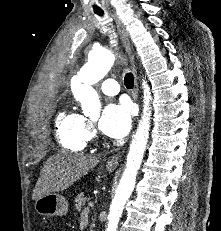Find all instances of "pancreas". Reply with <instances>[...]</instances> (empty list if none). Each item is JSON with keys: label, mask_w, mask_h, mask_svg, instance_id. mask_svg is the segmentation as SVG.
Returning a JSON list of instances; mask_svg holds the SVG:
<instances>
[{"label": "pancreas", "mask_w": 221, "mask_h": 231, "mask_svg": "<svg viewBox=\"0 0 221 231\" xmlns=\"http://www.w3.org/2000/svg\"><path fill=\"white\" fill-rule=\"evenodd\" d=\"M87 201V198L84 197L83 193L78 194V196L75 198V208L77 211H80L82 207L85 205V202ZM94 225L90 227V230L93 231Z\"/></svg>", "instance_id": "pancreas-1"}]
</instances>
